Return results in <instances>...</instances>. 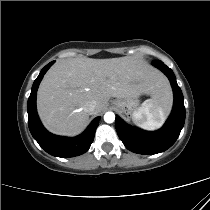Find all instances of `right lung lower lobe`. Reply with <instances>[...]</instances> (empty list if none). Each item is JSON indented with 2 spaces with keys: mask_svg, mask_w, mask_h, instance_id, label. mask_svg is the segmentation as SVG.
Returning <instances> with one entry per match:
<instances>
[{
  "mask_svg": "<svg viewBox=\"0 0 210 210\" xmlns=\"http://www.w3.org/2000/svg\"><path fill=\"white\" fill-rule=\"evenodd\" d=\"M53 63L54 61L47 64L33 83L27 104L29 130L47 153L62 158L74 157L85 153L90 148L100 117L95 118L83 134L74 138L53 135L42 126L36 111V94L40 81Z\"/></svg>",
  "mask_w": 210,
  "mask_h": 210,
  "instance_id": "98d812e1",
  "label": "right lung lower lobe"
}]
</instances>
